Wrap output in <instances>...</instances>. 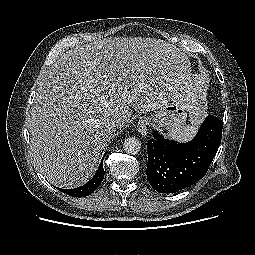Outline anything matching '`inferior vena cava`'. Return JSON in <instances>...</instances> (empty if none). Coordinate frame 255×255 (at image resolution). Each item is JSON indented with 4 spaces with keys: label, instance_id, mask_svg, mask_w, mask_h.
I'll use <instances>...</instances> for the list:
<instances>
[{
    "label": "inferior vena cava",
    "instance_id": "obj_1",
    "mask_svg": "<svg viewBox=\"0 0 255 255\" xmlns=\"http://www.w3.org/2000/svg\"><path fill=\"white\" fill-rule=\"evenodd\" d=\"M109 126L113 131H115V128L119 126V120L117 118L112 119Z\"/></svg>",
    "mask_w": 255,
    "mask_h": 255
}]
</instances>
